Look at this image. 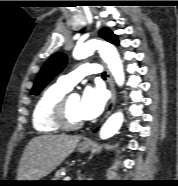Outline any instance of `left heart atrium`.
<instances>
[{"mask_svg": "<svg viewBox=\"0 0 178 186\" xmlns=\"http://www.w3.org/2000/svg\"><path fill=\"white\" fill-rule=\"evenodd\" d=\"M107 96L105 90L98 87H87L79 101V114L83 120H92L104 110Z\"/></svg>", "mask_w": 178, "mask_h": 186, "instance_id": "1", "label": "left heart atrium"}]
</instances>
